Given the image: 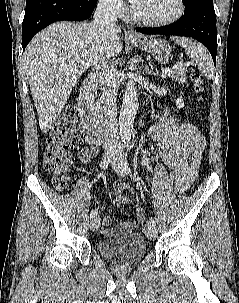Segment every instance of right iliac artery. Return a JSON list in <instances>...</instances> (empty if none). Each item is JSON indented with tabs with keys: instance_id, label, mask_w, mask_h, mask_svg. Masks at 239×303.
Wrapping results in <instances>:
<instances>
[{
	"instance_id": "obj_1",
	"label": "right iliac artery",
	"mask_w": 239,
	"mask_h": 303,
	"mask_svg": "<svg viewBox=\"0 0 239 303\" xmlns=\"http://www.w3.org/2000/svg\"><path fill=\"white\" fill-rule=\"evenodd\" d=\"M108 160L106 159H103L101 162H100V167L102 169H106L108 167ZM97 215V211L96 210H92L91 213H90V218H94L95 216Z\"/></svg>"
}]
</instances>
